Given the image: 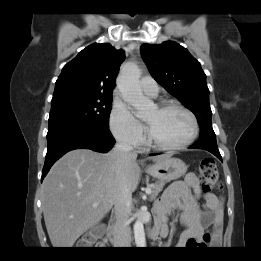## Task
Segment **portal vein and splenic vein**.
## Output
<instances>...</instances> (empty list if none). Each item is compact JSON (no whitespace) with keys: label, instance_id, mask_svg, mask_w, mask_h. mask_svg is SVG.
<instances>
[{"label":"portal vein and splenic vein","instance_id":"1","mask_svg":"<svg viewBox=\"0 0 261 261\" xmlns=\"http://www.w3.org/2000/svg\"><path fill=\"white\" fill-rule=\"evenodd\" d=\"M145 192H146L147 194H151V189H150V187H147L146 190H145Z\"/></svg>","mask_w":261,"mask_h":261}]
</instances>
